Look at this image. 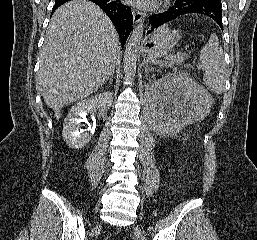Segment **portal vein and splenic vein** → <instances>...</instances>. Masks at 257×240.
Returning a JSON list of instances; mask_svg holds the SVG:
<instances>
[{
    "mask_svg": "<svg viewBox=\"0 0 257 240\" xmlns=\"http://www.w3.org/2000/svg\"><path fill=\"white\" fill-rule=\"evenodd\" d=\"M168 59L171 60V62L169 63V66H172L174 63L180 64L184 61V57L183 55H175V56H170Z\"/></svg>",
    "mask_w": 257,
    "mask_h": 240,
    "instance_id": "portal-vein-and-splenic-vein-1",
    "label": "portal vein and splenic vein"
}]
</instances>
